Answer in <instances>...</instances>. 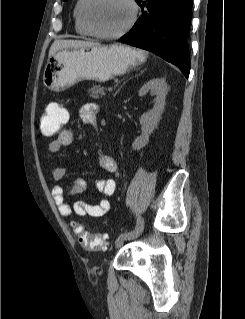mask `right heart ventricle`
Returning <instances> with one entry per match:
<instances>
[{"label": "right heart ventricle", "instance_id": "1", "mask_svg": "<svg viewBox=\"0 0 245 319\" xmlns=\"http://www.w3.org/2000/svg\"><path fill=\"white\" fill-rule=\"evenodd\" d=\"M85 0H76L73 8V19L76 32L81 36H92L90 31L87 29L82 18V7Z\"/></svg>", "mask_w": 245, "mask_h": 319}]
</instances>
